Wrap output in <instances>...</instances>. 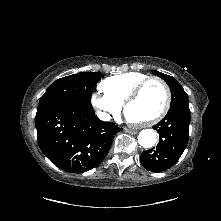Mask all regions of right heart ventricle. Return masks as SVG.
I'll return each instance as SVG.
<instances>
[{
  "instance_id": "1",
  "label": "right heart ventricle",
  "mask_w": 221,
  "mask_h": 221,
  "mask_svg": "<svg viewBox=\"0 0 221 221\" xmlns=\"http://www.w3.org/2000/svg\"><path fill=\"white\" fill-rule=\"evenodd\" d=\"M147 77L140 72H126L104 79L100 88L106 96L122 105L131 91Z\"/></svg>"
}]
</instances>
